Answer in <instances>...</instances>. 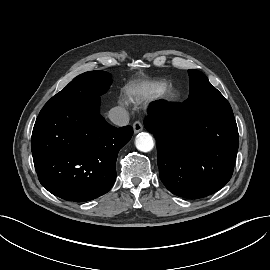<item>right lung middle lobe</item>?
I'll return each instance as SVG.
<instances>
[{
    "instance_id": "obj_1",
    "label": "right lung middle lobe",
    "mask_w": 270,
    "mask_h": 270,
    "mask_svg": "<svg viewBox=\"0 0 270 270\" xmlns=\"http://www.w3.org/2000/svg\"><path fill=\"white\" fill-rule=\"evenodd\" d=\"M112 82L111 76L105 71H90L75 77L63 90L53 96L42 108L56 109L99 99Z\"/></svg>"
}]
</instances>
